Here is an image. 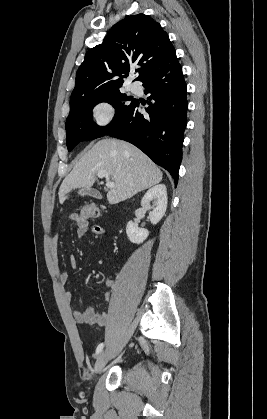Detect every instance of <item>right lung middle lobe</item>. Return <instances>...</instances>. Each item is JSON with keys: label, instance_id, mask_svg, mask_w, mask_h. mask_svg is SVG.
I'll return each mask as SVG.
<instances>
[{"label": "right lung middle lobe", "instance_id": "obj_1", "mask_svg": "<svg viewBox=\"0 0 267 419\" xmlns=\"http://www.w3.org/2000/svg\"><path fill=\"white\" fill-rule=\"evenodd\" d=\"M136 99L120 90L88 95L70 103V113L66 121V144L71 151L79 142L104 136L130 110ZM101 102H108L115 108V116L107 126H98L92 120V109Z\"/></svg>", "mask_w": 267, "mask_h": 419}]
</instances>
